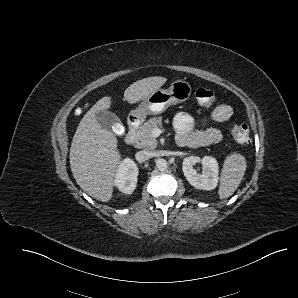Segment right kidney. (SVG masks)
Instances as JSON below:
<instances>
[{"label": "right kidney", "mask_w": 298, "mask_h": 298, "mask_svg": "<svg viewBox=\"0 0 298 298\" xmlns=\"http://www.w3.org/2000/svg\"><path fill=\"white\" fill-rule=\"evenodd\" d=\"M138 173L137 164L127 157L118 166L114 185L120 192L132 194L137 185Z\"/></svg>", "instance_id": "right-kidney-1"}]
</instances>
